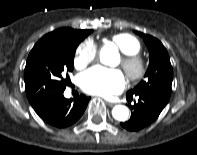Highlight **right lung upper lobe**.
<instances>
[{
  "label": "right lung upper lobe",
  "mask_w": 197,
  "mask_h": 155,
  "mask_svg": "<svg viewBox=\"0 0 197 155\" xmlns=\"http://www.w3.org/2000/svg\"><path fill=\"white\" fill-rule=\"evenodd\" d=\"M58 31H62V30H69V31H73L75 33H77L78 35H87L89 33V30H74L71 28H60L57 29Z\"/></svg>",
  "instance_id": "1"
}]
</instances>
